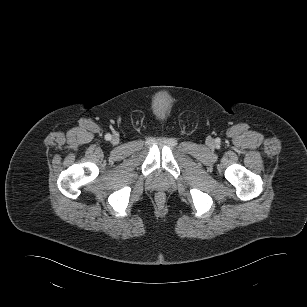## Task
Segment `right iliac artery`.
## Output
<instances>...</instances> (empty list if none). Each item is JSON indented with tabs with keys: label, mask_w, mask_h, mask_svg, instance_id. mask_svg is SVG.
Listing matches in <instances>:
<instances>
[{
	"label": "right iliac artery",
	"mask_w": 307,
	"mask_h": 307,
	"mask_svg": "<svg viewBox=\"0 0 307 307\" xmlns=\"http://www.w3.org/2000/svg\"><path fill=\"white\" fill-rule=\"evenodd\" d=\"M105 138H106V140H110V139H111V135H110V134H107V135L105 136Z\"/></svg>",
	"instance_id": "1"
}]
</instances>
